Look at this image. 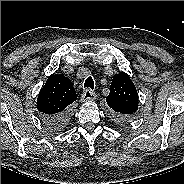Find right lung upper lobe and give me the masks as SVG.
Returning <instances> with one entry per match:
<instances>
[{"label":"right lung upper lobe","mask_w":184,"mask_h":184,"mask_svg":"<svg viewBox=\"0 0 184 184\" xmlns=\"http://www.w3.org/2000/svg\"><path fill=\"white\" fill-rule=\"evenodd\" d=\"M77 99L73 83L62 74H52L37 98V109L42 116H55L69 109Z\"/></svg>","instance_id":"cb5924a9"}]
</instances>
